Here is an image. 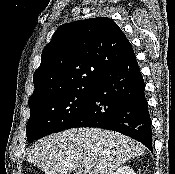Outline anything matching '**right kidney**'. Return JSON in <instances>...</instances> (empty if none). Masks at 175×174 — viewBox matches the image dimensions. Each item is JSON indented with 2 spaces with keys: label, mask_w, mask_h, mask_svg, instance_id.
<instances>
[{
  "label": "right kidney",
  "mask_w": 175,
  "mask_h": 174,
  "mask_svg": "<svg viewBox=\"0 0 175 174\" xmlns=\"http://www.w3.org/2000/svg\"><path fill=\"white\" fill-rule=\"evenodd\" d=\"M113 174H135L130 166H121Z\"/></svg>",
  "instance_id": "obj_1"
}]
</instances>
